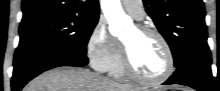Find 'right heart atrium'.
I'll list each match as a JSON object with an SVG mask.
<instances>
[{
    "label": "right heart atrium",
    "instance_id": "d8ad5b80",
    "mask_svg": "<svg viewBox=\"0 0 220 91\" xmlns=\"http://www.w3.org/2000/svg\"><path fill=\"white\" fill-rule=\"evenodd\" d=\"M120 49L119 41L109 34L105 22L99 20L90 31L85 44L90 65L97 71H109Z\"/></svg>",
    "mask_w": 220,
    "mask_h": 91
}]
</instances>
